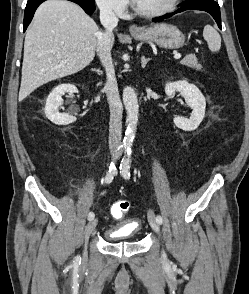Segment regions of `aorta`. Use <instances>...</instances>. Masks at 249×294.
<instances>
[{
	"mask_svg": "<svg viewBox=\"0 0 249 294\" xmlns=\"http://www.w3.org/2000/svg\"><path fill=\"white\" fill-rule=\"evenodd\" d=\"M123 103L127 112V129L124 137V145L129 147L132 145L136 134L138 123L139 105L137 95L133 88L125 87L123 90Z\"/></svg>",
	"mask_w": 249,
	"mask_h": 294,
	"instance_id": "obj_1",
	"label": "aorta"
}]
</instances>
